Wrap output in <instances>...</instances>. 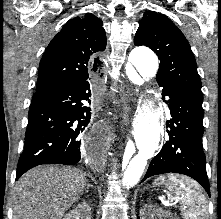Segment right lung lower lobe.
Wrapping results in <instances>:
<instances>
[{
	"instance_id": "right-lung-lower-lobe-1",
	"label": "right lung lower lobe",
	"mask_w": 221,
	"mask_h": 219,
	"mask_svg": "<svg viewBox=\"0 0 221 219\" xmlns=\"http://www.w3.org/2000/svg\"><path fill=\"white\" fill-rule=\"evenodd\" d=\"M93 90L89 78L34 93L16 180L38 165L80 161L82 132L91 117L87 104H91Z\"/></svg>"
}]
</instances>
